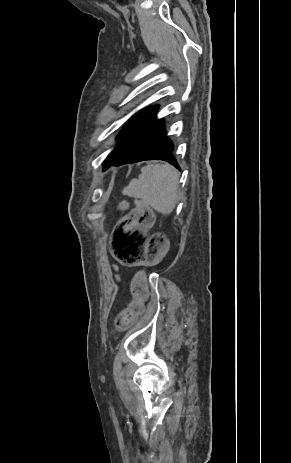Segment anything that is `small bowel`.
Here are the masks:
<instances>
[{
  "label": "small bowel",
  "instance_id": "small-bowel-1",
  "mask_svg": "<svg viewBox=\"0 0 291 463\" xmlns=\"http://www.w3.org/2000/svg\"><path fill=\"white\" fill-rule=\"evenodd\" d=\"M114 271H115V279H116V281L119 282L121 280V276L119 274L118 268L114 267Z\"/></svg>",
  "mask_w": 291,
  "mask_h": 463
}]
</instances>
